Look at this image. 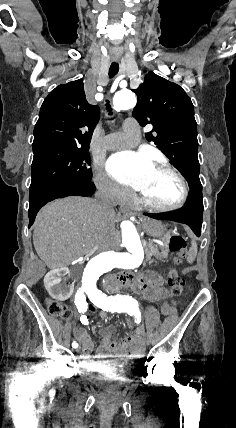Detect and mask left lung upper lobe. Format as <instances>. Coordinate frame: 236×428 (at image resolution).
I'll use <instances>...</instances> for the list:
<instances>
[{
	"label": "left lung upper lobe",
	"instance_id": "5c2ea615",
	"mask_svg": "<svg viewBox=\"0 0 236 428\" xmlns=\"http://www.w3.org/2000/svg\"><path fill=\"white\" fill-rule=\"evenodd\" d=\"M132 115L153 125L146 139L154 142L186 177L190 190L202 189L199 179L197 124L191 99L182 87L149 72L137 90Z\"/></svg>",
	"mask_w": 236,
	"mask_h": 428
}]
</instances>
